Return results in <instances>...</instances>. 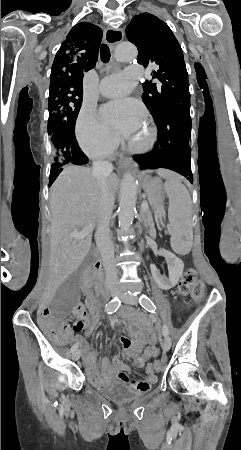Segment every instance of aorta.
<instances>
[{
    "label": "aorta",
    "mask_w": 241,
    "mask_h": 450,
    "mask_svg": "<svg viewBox=\"0 0 241 450\" xmlns=\"http://www.w3.org/2000/svg\"><path fill=\"white\" fill-rule=\"evenodd\" d=\"M138 52L136 47L130 43H121L115 50V58L119 62L133 60ZM137 200V183L131 173L123 176L120 188V203L118 220L119 227L127 231L133 223L135 205Z\"/></svg>",
    "instance_id": "1"
}]
</instances>
